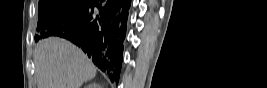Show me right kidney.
<instances>
[{
	"mask_svg": "<svg viewBox=\"0 0 267 88\" xmlns=\"http://www.w3.org/2000/svg\"><path fill=\"white\" fill-rule=\"evenodd\" d=\"M85 88H102V86L96 82H93V83H89L87 86H85Z\"/></svg>",
	"mask_w": 267,
	"mask_h": 88,
	"instance_id": "right-kidney-1",
	"label": "right kidney"
}]
</instances>
